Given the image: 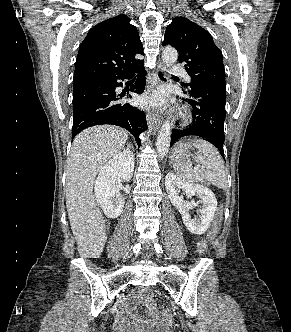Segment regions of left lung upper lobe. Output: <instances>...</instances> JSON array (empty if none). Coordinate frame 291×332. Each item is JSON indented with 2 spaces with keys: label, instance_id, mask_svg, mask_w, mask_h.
Listing matches in <instances>:
<instances>
[{
  "label": "left lung upper lobe",
  "instance_id": "1",
  "mask_svg": "<svg viewBox=\"0 0 291 332\" xmlns=\"http://www.w3.org/2000/svg\"><path fill=\"white\" fill-rule=\"evenodd\" d=\"M163 45L179 51V62L184 63L192 77L190 88L197 82L225 85L222 53L212 36L201 26L185 17H175L166 28ZM182 86L187 88L188 84Z\"/></svg>",
  "mask_w": 291,
  "mask_h": 332
}]
</instances>
